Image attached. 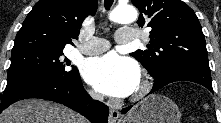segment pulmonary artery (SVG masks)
Here are the masks:
<instances>
[{"instance_id":"pulmonary-artery-1","label":"pulmonary artery","mask_w":221,"mask_h":123,"mask_svg":"<svg viewBox=\"0 0 221 123\" xmlns=\"http://www.w3.org/2000/svg\"><path fill=\"white\" fill-rule=\"evenodd\" d=\"M136 38V33L130 28H120L116 32V41L120 44H127ZM110 47L106 39L94 37L79 47L80 52L86 55L100 54Z\"/></svg>"}]
</instances>
